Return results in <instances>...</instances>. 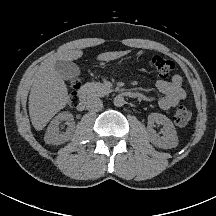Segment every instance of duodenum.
Wrapping results in <instances>:
<instances>
[{
	"label": "duodenum",
	"mask_w": 216,
	"mask_h": 216,
	"mask_svg": "<svg viewBox=\"0 0 216 216\" xmlns=\"http://www.w3.org/2000/svg\"><path fill=\"white\" fill-rule=\"evenodd\" d=\"M120 95L126 97V98H131V99H141L143 96L133 90L129 89H124L119 92ZM87 105V90L86 88H81L79 90V95H78V109L83 110Z\"/></svg>",
	"instance_id": "1"
}]
</instances>
